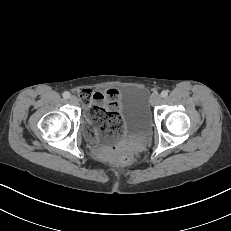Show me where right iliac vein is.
Wrapping results in <instances>:
<instances>
[{
	"instance_id": "63e3f726",
	"label": "right iliac vein",
	"mask_w": 231,
	"mask_h": 231,
	"mask_svg": "<svg viewBox=\"0 0 231 231\" xmlns=\"http://www.w3.org/2000/svg\"><path fill=\"white\" fill-rule=\"evenodd\" d=\"M70 103L73 105H77L78 104V98L76 96H71L69 99Z\"/></svg>"
}]
</instances>
